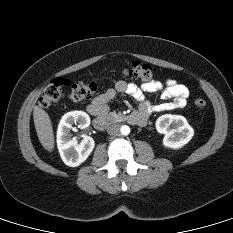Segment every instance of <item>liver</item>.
Wrapping results in <instances>:
<instances>
[{"instance_id": "1", "label": "liver", "mask_w": 233, "mask_h": 233, "mask_svg": "<svg viewBox=\"0 0 233 233\" xmlns=\"http://www.w3.org/2000/svg\"><path fill=\"white\" fill-rule=\"evenodd\" d=\"M33 119L37 136L41 145L47 151L52 152L55 142L53 127L48 113L39 106H34Z\"/></svg>"}]
</instances>
